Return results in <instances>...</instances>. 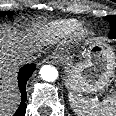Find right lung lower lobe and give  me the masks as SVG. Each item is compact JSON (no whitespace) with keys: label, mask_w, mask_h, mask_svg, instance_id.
<instances>
[{"label":"right lung lower lobe","mask_w":116,"mask_h":116,"mask_svg":"<svg viewBox=\"0 0 116 116\" xmlns=\"http://www.w3.org/2000/svg\"><path fill=\"white\" fill-rule=\"evenodd\" d=\"M36 69L34 64L25 65L22 67L18 74V85L21 91V103L17 111L13 116H24L26 112V83L29 77L32 75L33 71Z\"/></svg>","instance_id":"right-lung-lower-lobe-1"}]
</instances>
